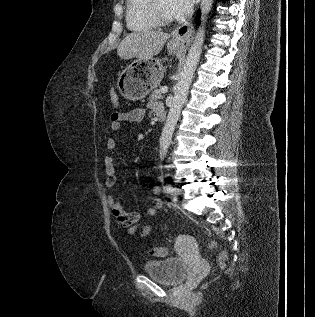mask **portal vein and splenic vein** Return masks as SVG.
Here are the masks:
<instances>
[{"label": "portal vein and splenic vein", "mask_w": 315, "mask_h": 317, "mask_svg": "<svg viewBox=\"0 0 315 317\" xmlns=\"http://www.w3.org/2000/svg\"><path fill=\"white\" fill-rule=\"evenodd\" d=\"M167 91H168V88H167V87H162V88H161V92H162V93H166Z\"/></svg>", "instance_id": "1"}]
</instances>
